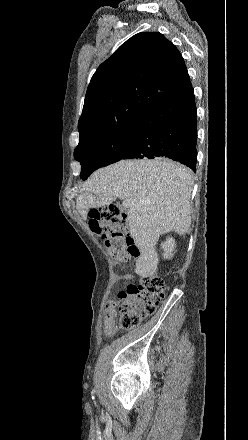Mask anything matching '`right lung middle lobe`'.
<instances>
[{
  "label": "right lung middle lobe",
  "instance_id": "obj_1",
  "mask_svg": "<svg viewBox=\"0 0 248 440\" xmlns=\"http://www.w3.org/2000/svg\"><path fill=\"white\" fill-rule=\"evenodd\" d=\"M129 144L128 129L123 127L93 143L75 149L74 158L81 164L80 177L86 180L96 169L121 160Z\"/></svg>",
  "mask_w": 248,
  "mask_h": 440
}]
</instances>
